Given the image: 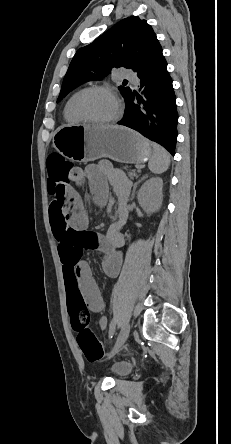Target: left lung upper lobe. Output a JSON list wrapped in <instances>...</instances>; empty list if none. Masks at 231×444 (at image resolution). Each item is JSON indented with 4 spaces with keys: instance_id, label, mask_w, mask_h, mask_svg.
<instances>
[{
    "instance_id": "left-lung-upper-lobe-1",
    "label": "left lung upper lobe",
    "mask_w": 231,
    "mask_h": 444,
    "mask_svg": "<svg viewBox=\"0 0 231 444\" xmlns=\"http://www.w3.org/2000/svg\"><path fill=\"white\" fill-rule=\"evenodd\" d=\"M161 48L152 27L137 16L118 22L91 44L74 55L64 77L61 101L70 91L89 80H101L113 67H126L138 72ZM124 98L129 87L120 86Z\"/></svg>"
}]
</instances>
